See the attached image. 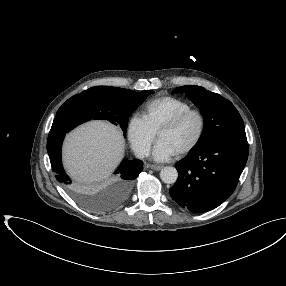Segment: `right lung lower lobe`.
I'll use <instances>...</instances> for the list:
<instances>
[{"mask_svg": "<svg viewBox=\"0 0 286 286\" xmlns=\"http://www.w3.org/2000/svg\"><path fill=\"white\" fill-rule=\"evenodd\" d=\"M67 132L68 130L62 129L58 127L57 124L53 123L47 140V151L57 181L66 188L72 189V180L64 171L61 162V146ZM142 167L143 163L136 159L131 161L124 160L121 162L115 171V174L118 176L116 182L118 195L115 204L123 201L120 199L121 195L125 196L127 194L132 185V181L137 178L139 173L142 171ZM113 205L114 204H110L109 206H105V208Z\"/></svg>", "mask_w": 286, "mask_h": 286, "instance_id": "1", "label": "right lung lower lobe"}]
</instances>
